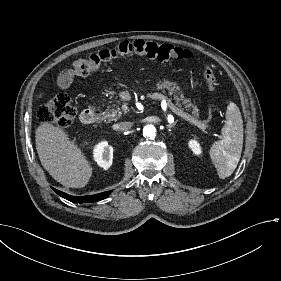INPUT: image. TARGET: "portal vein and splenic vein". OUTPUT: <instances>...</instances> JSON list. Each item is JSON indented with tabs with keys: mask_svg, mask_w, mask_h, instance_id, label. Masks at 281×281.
Here are the masks:
<instances>
[{
	"mask_svg": "<svg viewBox=\"0 0 281 281\" xmlns=\"http://www.w3.org/2000/svg\"><path fill=\"white\" fill-rule=\"evenodd\" d=\"M161 99H162L161 93H146V94L142 95L143 101H148V100L159 101ZM167 105H169L176 114L182 116V119L186 123H190V124L194 125L195 127L200 128L204 132L208 131L207 125H204L203 123L198 122L197 119H193V117L191 116V114L189 112H186L183 109H178L176 104L173 103L169 98H168V104Z\"/></svg>",
	"mask_w": 281,
	"mask_h": 281,
	"instance_id": "portal-vein-and-splenic-vein-1",
	"label": "portal vein and splenic vein"
}]
</instances>
